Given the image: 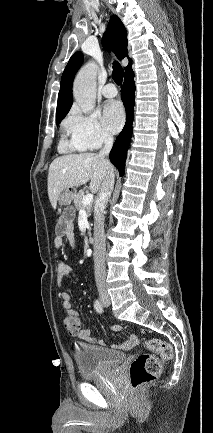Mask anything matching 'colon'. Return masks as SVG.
<instances>
[{
    "label": "colon",
    "mask_w": 213,
    "mask_h": 433,
    "mask_svg": "<svg viewBox=\"0 0 213 433\" xmlns=\"http://www.w3.org/2000/svg\"><path fill=\"white\" fill-rule=\"evenodd\" d=\"M63 325L70 335L77 334L82 328L80 315L77 312L65 313ZM112 330L119 331V327L114 326ZM144 347L151 353L138 355L129 368V382L134 390L155 380L160 374L163 364L173 357L172 346L161 339H148L144 342Z\"/></svg>",
    "instance_id": "5ec220e1"
}]
</instances>
